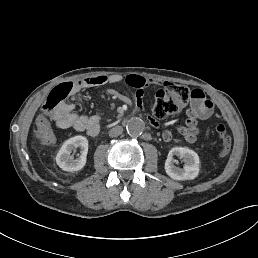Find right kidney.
I'll use <instances>...</instances> for the list:
<instances>
[{
  "instance_id": "obj_1",
  "label": "right kidney",
  "mask_w": 258,
  "mask_h": 258,
  "mask_svg": "<svg viewBox=\"0 0 258 258\" xmlns=\"http://www.w3.org/2000/svg\"><path fill=\"white\" fill-rule=\"evenodd\" d=\"M80 148V156L76 159L71 155V152ZM88 153V140L84 136H74L66 140L56 156L57 165L64 171H78L86 164Z\"/></svg>"
}]
</instances>
